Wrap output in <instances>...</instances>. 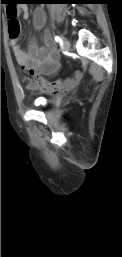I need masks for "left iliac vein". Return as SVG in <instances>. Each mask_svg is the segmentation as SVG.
I'll return each mask as SVG.
<instances>
[{
  "mask_svg": "<svg viewBox=\"0 0 122 257\" xmlns=\"http://www.w3.org/2000/svg\"><path fill=\"white\" fill-rule=\"evenodd\" d=\"M70 47H71L70 41L65 38V39L63 40V48H64L65 50H69Z\"/></svg>",
  "mask_w": 122,
  "mask_h": 257,
  "instance_id": "left-iliac-vein-1",
  "label": "left iliac vein"
}]
</instances>
